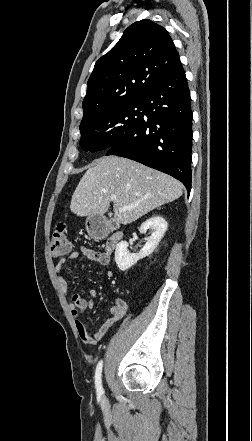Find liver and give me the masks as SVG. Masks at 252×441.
Listing matches in <instances>:
<instances>
[{
  "label": "liver",
  "instance_id": "6515ba94",
  "mask_svg": "<svg viewBox=\"0 0 252 441\" xmlns=\"http://www.w3.org/2000/svg\"><path fill=\"white\" fill-rule=\"evenodd\" d=\"M183 188L180 181L136 161L118 156L101 157L80 180L70 210L80 217L103 215L111 196L115 195L114 220L127 225L178 199ZM120 207L128 209L119 211Z\"/></svg>",
  "mask_w": 252,
  "mask_h": 441
}]
</instances>
